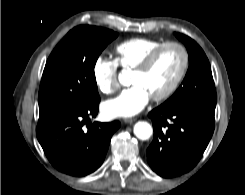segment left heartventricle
I'll list each match as a JSON object with an SVG mask.
<instances>
[{"label":"left heart ventricle","instance_id":"left-heart-ventricle-1","mask_svg":"<svg viewBox=\"0 0 245 195\" xmlns=\"http://www.w3.org/2000/svg\"><path fill=\"white\" fill-rule=\"evenodd\" d=\"M181 64V51L176 47H168L159 53L147 71L133 72L131 82L144 87L151 97L158 95L175 80Z\"/></svg>","mask_w":245,"mask_h":195}]
</instances>
